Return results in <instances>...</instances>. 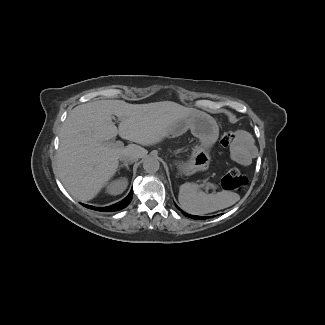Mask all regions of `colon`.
<instances>
[{"label":"colon","mask_w":325,"mask_h":325,"mask_svg":"<svg viewBox=\"0 0 325 325\" xmlns=\"http://www.w3.org/2000/svg\"><path fill=\"white\" fill-rule=\"evenodd\" d=\"M233 140L230 132H223L220 138L222 146H228ZM247 184L246 176L238 169H231L221 180V185L225 190L239 191Z\"/></svg>","instance_id":"1"}]
</instances>
